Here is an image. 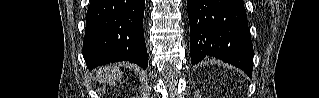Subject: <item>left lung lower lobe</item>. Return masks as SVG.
Listing matches in <instances>:
<instances>
[{
  "mask_svg": "<svg viewBox=\"0 0 319 98\" xmlns=\"http://www.w3.org/2000/svg\"><path fill=\"white\" fill-rule=\"evenodd\" d=\"M187 10L192 65L209 55L251 78L253 47L243 0H187Z\"/></svg>",
  "mask_w": 319,
  "mask_h": 98,
  "instance_id": "obj_1",
  "label": "left lung lower lobe"
}]
</instances>
